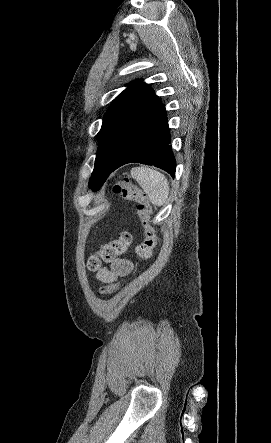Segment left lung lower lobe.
I'll return each instance as SVG.
<instances>
[{"instance_id":"obj_1","label":"left lung lower lobe","mask_w":271,"mask_h":443,"mask_svg":"<svg viewBox=\"0 0 271 443\" xmlns=\"http://www.w3.org/2000/svg\"><path fill=\"white\" fill-rule=\"evenodd\" d=\"M170 143L165 107L151 90L125 130L110 173L124 164L139 162L159 167L174 177L176 161Z\"/></svg>"}]
</instances>
